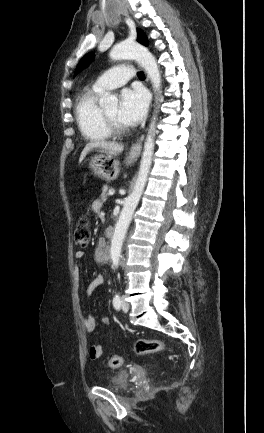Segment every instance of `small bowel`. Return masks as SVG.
I'll return each instance as SVG.
<instances>
[{
  "instance_id": "small-bowel-1",
  "label": "small bowel",
  "mask_w": 264,
  "mask_h": 433,
  "mask_svg": "<svg viewBox=\"0 0 264 433\" xmlns=\"http://www.w3.org/2000/svg\"><path fill=\"white\" fill-rule=\"evenodd\" d=\"M102 208V202L100 200H95L91 204V209L95 213H99ZM85 256V253L83 251H77L75 254V257L77 260L83 259ZM81 275V270L79 266L75 267V276L77 281H79ZM104 282V278L101 275L96 276L87 286L86 289V295L89 297L93 290L97 288L98 286L102 285ZM102 322L104 324H109L110 319L107 316L102 317ZM83 326L86 332L93 333L96 329V321L95 318L91 314H85L83 316ZM102 354V347L100 345H92L89 348V357L92 360H97L101 357Z\"/></svg>"
}]
</instances>
